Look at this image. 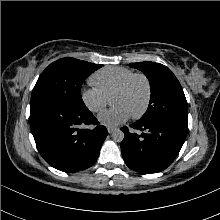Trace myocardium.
I'll use <instances>...</instances> for the list:
<instances>
[{
  "instance_id": "1",
  "label": "myocardium",
  "mask_w": 220,
  "mask_h": 220,
  "mask_svg": "<svg viewBox=\"0 0 220 220\" xmlns=\"http://www.w3.org/2000/svg\"><path fill=\"white\" fill-rule=\"evenodd\" d=\"M136 79H141L145 83L146 99L143 107L138 112L132 114L133 119L141 118L147 112L150 106L151 98H152V85L150 79L143 73H134L130 77H128L111 95V97H113L114 95L125 92Z\"/></svg>"
}]
</instances>
